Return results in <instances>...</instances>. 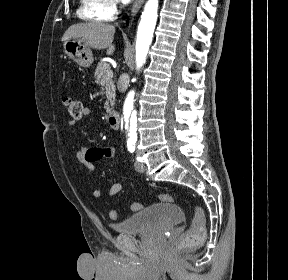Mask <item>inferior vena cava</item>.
Wrapping results in <instances>:
<instances>
[{
  "label": "inferior vena cava",
  "mask_w": 288,
  "mask_h": 280,
  "mask_svg": "<svg viewBox=\"0 0 288 280\" xmlns=\"http://www.w3.org/2000/svg\"><path fill=\"white\" fill-rule=\"evenodd\" d=\"M129 79L126 74H122L118 81V90H127Z\"/></svg>",
  "instance_id": "inferior-vena-cava-1"
}]
</instances>
